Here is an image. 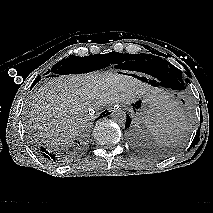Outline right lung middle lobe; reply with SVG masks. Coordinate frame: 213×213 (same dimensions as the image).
Returning a JSON list of instances; mask_svg holds the SVG:
<instances>
[{
    "instance_id": "1",
    "label": "right lung middle lobe",
    "mask_w": 213,
    "mask_h": 213,
    "mask_svg": "<svg viewBox=\"0 0 213 213\" xmlns=\"http://www.w3.org/2000/svg\"><path fill=\"white\" fill-rule=\"evenodd\" d=\"M124 56V54L118 52H110L109 54H96L86 57L71 55L70 58L63 59L62 61L55 64L52 67L51 72L54 74L87 73L108 67L112 64L122 63L124 61ZM121 65L123 64L115 65V67L121 68Z\"/></svg>"
}]
</instances>
